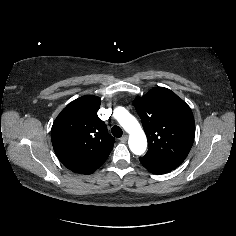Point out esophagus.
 Wrapping results in <instances>:
<instances>
[{"label":"esophagus","mask_w":236,"mask_h":236,"mask_svg":"<svg viewBox=\"0 0 236 236\" xmlns=\"http://www.w3.org/2000/svg\"><path fill=\"white\" fill-rule=\"evenodd\" d=\"M127 139H128V135H123L121 138H120V140L122 141V142H126L127 141Z\"/></svg>","instance_id":"1"}]
</instances>
